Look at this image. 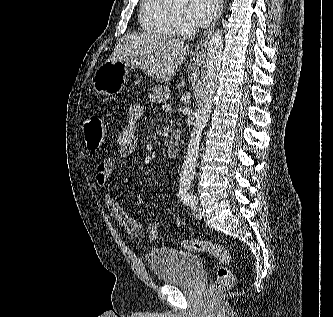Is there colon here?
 <instances>
[{"mask_svg":"<svg viewBox=\"0 0 333 317\" xmlns=\"http://www.w3.org/2000/svg\"><path fill=\"white\" fill-rule=\"evenodd\" d=\"M86 145L91 150L99 149L106 139L104 123L102 118L96 114H89L83 123ZM158 234V227L155 222L150 225L149 237L155 240ZM181 246L194 252L210 253L216 257L220 263L217 270V278L212 286L213 291L229 289L233 286L235 277L231 269V255L228 250L216 243L196 240H183Z\"/></svg>","mask_w":333,"mask_h":317,"instance_id":"obj_1","label":"colon"}]
</instances>
